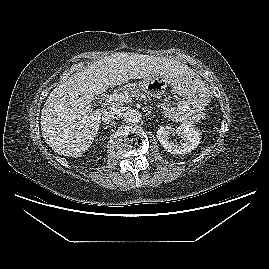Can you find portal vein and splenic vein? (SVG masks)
<instances>
[{
	"mask_svg": "<svg viewBox=\"0 0 269 269\" xmlns=\"http://www.w3.org/2000/svg\"><path fill=\"white\" fill-rule=\"evenodd\" d=\"M106 102H108V103H111V102L129 103V102H131V97L127 93H125V94L113 93V94L106 97Z\"/></svg>",
	"mask_w": 269,
	"mask_h": 269,
	"instance_id": "1",
	"label": "portal vein and splenic vein"
}]
</instances>
